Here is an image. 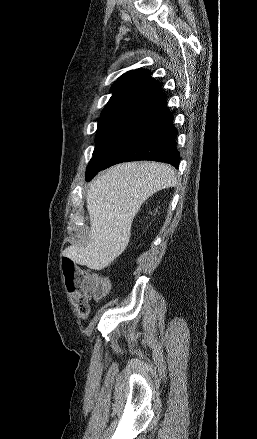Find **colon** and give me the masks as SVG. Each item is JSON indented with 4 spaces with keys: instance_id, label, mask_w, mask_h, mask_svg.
<instances>
[{
    "instance_id": "colon-1",
    "label": "colon",
    "mask_w": 257,
    "mask_h": 439,
    "mask_svg": "<svg viewBox=\"0 0 257 439\" xmlns=\"http://www.w3.org/2000/svg\"><path fill=\"white\" fill-rule=\"evenodd\" d=\"M63 271L77 313L87 316L90 310L89 300L100 299L109 292L108 278L82 270L68 259L63 261Z\"/></svg>"
}]
</instances>
